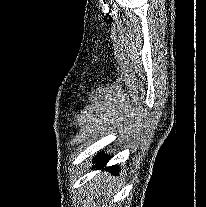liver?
Instances as JSON below:
<instances>
[{"label": "liver", "instance_id": "obj_1", "mask_svg": "<svg viewBox=\"0 0 206 207\" xmlns=\"http://www.w3.org/2000/svg\"><path fill=\"white\" fill-rule=\"evenodd\" d=\"M94 183L90 184V194L95 195L97 198L105 196L110 198L116 189V182L107 172H101L97 174L94 179Z\"/></svg>", "mask_w": 206, "mask_h": 207}]
</instances>
